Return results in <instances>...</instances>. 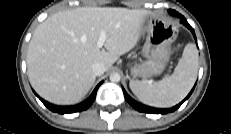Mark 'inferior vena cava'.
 I'll return each mask as SVG.
<instances>
[{
    "instance_id": "602c4592",
    "label": "inferior vena cava",
    "mask_w": 231,
    "mask_h": 134,
    "mask_svg": "<svg viewBox=\"0 0 231 134\" xmlns=\"http://www.w3.org/2000/svg\"><path fill=\"white\" fill-rule=\"evenodd\" d=\"M92 71L96 76H100L106 71V67L102 62H96L92 65Z\"/></svg>"
}]
</instances>
